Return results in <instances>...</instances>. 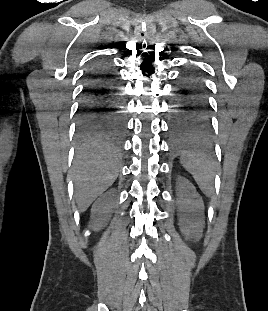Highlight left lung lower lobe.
Returning <instances> with one entry per match:
<instances>
[{
	"label": "left lung lower lobe",
	"mask_w": 268,
	"mask_h": 311,
	"mask_svg": "<svg viewBox=\"0 0 268 311\" xmlns=\"http://www.w3.org/2000/svg\"><path fill=\"white\" fill-rule=\"evenodd\" d=\"M174 93L173 107L170 110L173 132H168V139L170 141H212L205 85L193 67L180 75Z\"/></svg>",
	"instance_id": "1"
}]
</instances>
